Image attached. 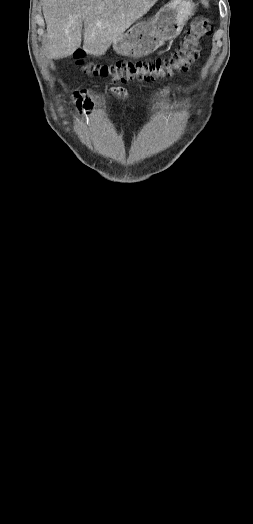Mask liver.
<instances>
[{"mask_svg": "<svg viewBox=\"0 0 253 524\" xmlns=\"http://www.w3.org/2000/svg\"><path fill=\"white\" fill-rule=\"evenodd\" d=\"M158 0H44L46 51L50 58L73 54L81 45L92 55H103L136 20Z\"/></svg>", "mask_w": 253, "mask_h": 524, "instance_id": "liver-1", "label": "liver"}]
</instances>
